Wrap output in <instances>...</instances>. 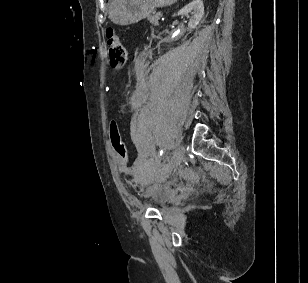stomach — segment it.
I'll list each match as a JSON object with an SVG mask.
<instances>
[{
    "mask_svg": "<svg viewBox=\"0 0 308 283\" xmlns=\"http://www.w3.org/2000/svg\"><path fill=\"white\" fill-rule=\"evenodd\" d=\"M177 0H111L110 20L121 26L137 23L149 17L158 7H165Z\"/></svg>",
    "mask_w": 308,
    "mask_h": 283,
    "instance_id": "0dacf381",
    "label": "stomach"
}]
</instances>
